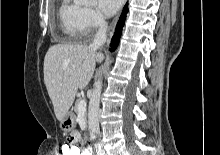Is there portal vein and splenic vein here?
Listing matches in <instances>:
<instances>
[{"label":"portal vein and splenic vein","mask_w":220,"mask_h":155,"mask_svg":"<svg viewBox=\"0 0 220 155\" xmlns=\"http://www.w3.org/2000/svg\"><path fill=\"white\" fill-rule=\"evenodd\" d=\"M78 110H79V111H84V110H86V101H85V99H82V100L80 101V103L78 104Z\"/></svg>","instance_id":"18ae733b"}]
</instances>
